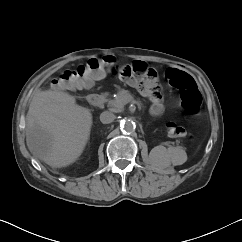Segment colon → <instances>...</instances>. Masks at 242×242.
<instances>
[{
	"instance_id": "1",
	"label": "colon",
	"mask_w": 242,
	"mask_h": 242,
	"mask_svg": "<svg viewBox=\"0 0 242 242\" xmlns=\"http://www.w3.org/2000/svg\"><path fill=\"white\" fill-rule=\"evenodd\" d=\"M122 67L121 75L124 78L137 79L140 82V88L144 87L150 93H158L160 91L156 72L148 67L146 63L133 62ZM120 69L112 56L90 59L77 68L62 71L52 81V87L58 90L89 88L103 72L109 71L112 74H119ZM166 78L172 86L180 90L183 109L190 113L197 112L200 108L202 97L193 78L186 72L175 68H170L167 71ZM167 130L172 137L182 138L186 135L184 128L174 123H169Z\"/></svg>"
}]
</instances>
